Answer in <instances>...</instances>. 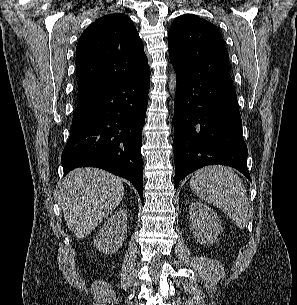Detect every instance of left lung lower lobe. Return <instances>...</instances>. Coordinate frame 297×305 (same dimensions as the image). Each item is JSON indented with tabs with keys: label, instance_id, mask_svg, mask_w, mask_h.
<instances>
[{
	"label": "left lung lower lobe",
	"instance_id": "obj_1",
	"mask_svg": "<svg viewBox=\"0 0 297 305\" xmlns=\"http://www.w3.org/2000/svg\"><path fill=\"white\" fill-rule=\"evenodd\" d=\"M172 65L177 72L175 187L186 175L211 164L231 166L251 181L231 76H194Z\"/></svg>",
	"mask_w": 297,
	"mask_h": 305
}]
</instances>
